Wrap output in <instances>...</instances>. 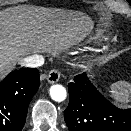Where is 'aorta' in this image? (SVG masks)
I'll return each mask as SVG.
<instances>
[{
	"label": "aorta",
	"mask_w": 131,
	"mask_h": 131,
	"mask_svg": "<svg viewBox=\"0 0 131 131\" xmlns=\"http://www.w3.org/2000/svg\"><path fill=\"white\" fill-rule=\"evenodd\" d=\"M50 96L54 101L62 102L66 99L67 92L62 85L55 84L50 87Z\"/></svg>",
	"instance_id": "obj_1"
}]
</instances>
